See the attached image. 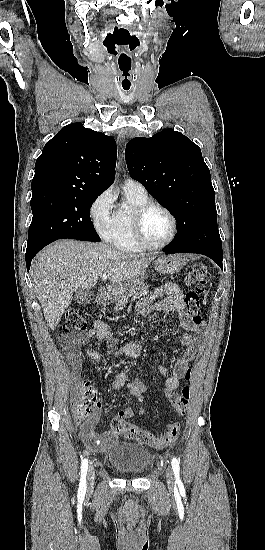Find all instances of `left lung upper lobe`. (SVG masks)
<instances>
[{
	"instance_id": "left-lung-upper-lobe-1",
	"label": "left lung upper lobe",
	"mask_w": 265,
	"mask_h": 550,
	"mask_svg": "<svg viewBox=\"0 0 265 550\" xmlns=\"http://www.w3.org/2000/svg\"><path fill=\"white\" fill-rule=\"evenodd\" d=\"M125 157L130 176L174 215L172 244L222 255L215 192L199 146L167 129L130 140Z\"/></svg>"
}]
</instances>
